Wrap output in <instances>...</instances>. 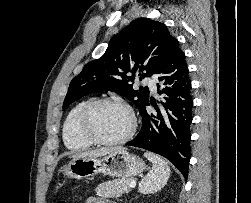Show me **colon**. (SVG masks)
Here are the masks:
<instances>
[{
	"label": "colon",
	"mask_w": 251,
	"mask_h": 203,
	"mask_svg": "<svg viewBox=\"0 0 251 203\" xmlns=\"http://www.w3.org/2000/svg\"><path fill=\"white\" fill-rule=\"evenodd\" d=\"M56 203H68V201L61 199V200L57 201Z\"/></svg>",
	"instance_id": "1"
}]
</instances>
